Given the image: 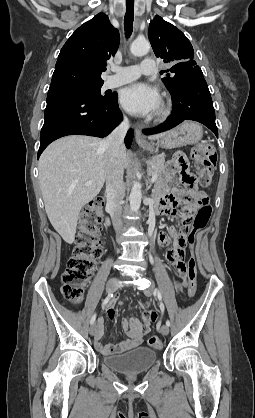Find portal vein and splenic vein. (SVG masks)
<instances>
[{"mask_svg": "<svg viewBox=\"0 0 255 418\" xmlns=\"http://www.w3.org/2000/svg\"><path fill=\"white\" fill-rule=\"evenodd\" d=\"M157 177H158V175L157 174H154V175H152V178H151V183H154L156 180H157ZM86 185L88 186V185H91V182L89 181V182H87L86 183Z\"/></svg>", "mask_w": 255, "mask_h": 418, "instance_id": "obj_1", "label": "portal vein and splenic vein"}]
</instances>
